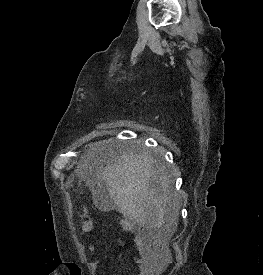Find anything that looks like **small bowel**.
<instances>
[{
    "label": "small bowel",
    "instance_id": "c3829d8e",
    "mask_svg": "<svg viewBox=\"0 0 263 275\" xmlns=\"http://www.w3.org/2000/svg\"><path fill=\"white\" fill-rule=\"evenodd\" d=\"M94 228V224L91 221H88L83 224L81 228V234H87L89 233L92 229ZM134 242L137 248V258H136V263H137V268H138V273L137 275H153V269L151 264L149 263V249L145 245L143 239L138 235H134ZM89 250L91 252H94L95 247L93 244H89ZM99 261L95 260L91 263H89V268L91 271H95L97 269Z\"/></svg>",
    "mask_w": 263,
    "mask_h": 275
}]
</instances>
